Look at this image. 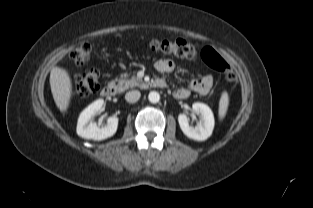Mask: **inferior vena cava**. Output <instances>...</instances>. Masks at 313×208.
<instances>
[{
	"mask_svg": "<svg viewBox=\"0 0 313 208\" xmlns=\"http://www.w3.org/2000/svg\"><path fill=\"white\" fill-rule=\"evenodd\" d=\"M141 93L138 90H132L126 93L125 99L129 103H135L139 100Z\"/></svg>",
	"mask_w": 313,
	"mask_h": 208,
	"instance_id": "obj_1",
	"label": "inferior vena cava"
}]
</instances>
